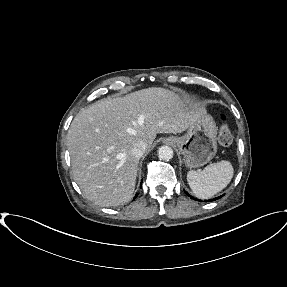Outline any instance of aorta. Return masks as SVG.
<instances>
[{
	"label": "aorta",
	"mask_w": 287,
	"mask_h": 287,
	"mask_svg": "<svg viewBox=\"0 0 287 287\" xmlns=\"http://www.w3.org/2000/svg\"><path fill=\"white\" fill-rule=\"evenodd\" d=\"M173 149L169 146H161L159 147L158 149V157L161 159V160H165V161H169L170 159L173 158Z\"/></svg>",
	"instance_id": "obj_1"
}]
</instances>
